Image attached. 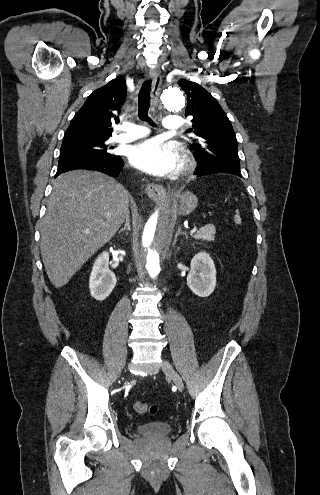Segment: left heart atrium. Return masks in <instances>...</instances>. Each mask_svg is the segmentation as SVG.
<instances>
[{"instance_id": "39dd6f15", "label": "left heart atrium", "mask_w": 320, "mask_h": 495, "mask_svg": "<svg viewBox=\"0 0 320 495\" xmlns=\"http://www.w3.org/2000/svg\"><path fill=\"white\" fill-rule=\"evenodd\" d=\"M130 163L156 176L170 175L179 165L177 152L158 139H148L134 145L129 153Z\"/></svg>"}]
</instances>
